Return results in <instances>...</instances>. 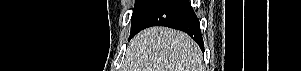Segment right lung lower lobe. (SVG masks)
I'll return each instance as SVG.
<instances>
[{
    "mask_svg": "<svg viewBox=\"0 0 301 71\" xmlns=\"http://www.w3.org/2000/svg\"><path fill=\"white\" fill-rule=\"evenodd\" d=\"M151 26H167L188 33L203 50L200 24L189 0H159L147 12L129 39L139 31Z\"/></svg>",
    "mask_w": 301,
    "mask_h": 71,
    "instance_id": "1",
    "label": "right lung lower lobe"
}]
</instances>
